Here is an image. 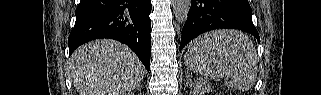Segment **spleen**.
<instances>
[{"mask_svg":"<svg viewBox=\"0 0 321 95\" xmlns=\"http://www.w3.org/2000/svg\"><path fill=\"white\" fill-rule=\"evenodd\" d=\"M184 64L194 73L225 80L231 88L249 90L257 78V53L252 40L243 32L218 30L193 40Z\"/></svg>","mask_w":321,"mask_h":95,"instance_id":"spleen-1","label":"spleen"}]
</instances>
